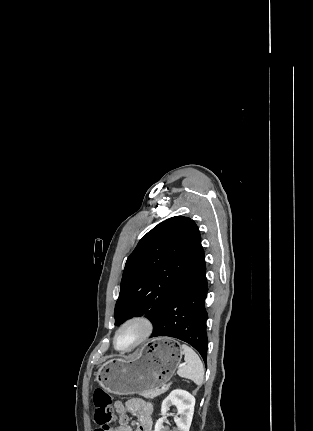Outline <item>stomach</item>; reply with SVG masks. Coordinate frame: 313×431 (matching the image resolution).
I'll return each instance as SVG.
<instances>
[{"mask_svg": "<svg viewBox=\"0 0 313 431\" xmlns=\"http://www.w3.org/2000/svg\"><path fill=\"white\" fill-rule=\"evenodd\" d=\"M183 351L171 338H156L127 358L111 359L98 370L96 381L110 393L130 395L160 389L172 378Z\"/></svg>", "mask_w": 313, "mask_h": 431, "instance_id": "obj_1", "label": "stomach"}]
</instances>
